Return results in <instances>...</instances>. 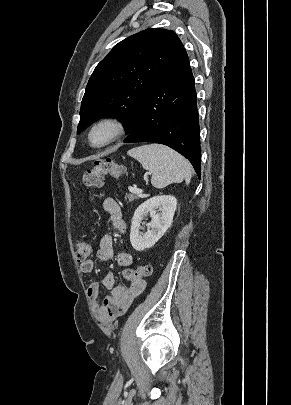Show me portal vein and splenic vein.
<instances>
[{"instance_id": "18ae733b", "label": "portal vein and splenic vein", "mask_w": 291, "mask_h": 405, "mask_svg": "<svg viewBox=\"0 0 291 405\" xmlns=\"http://www.w3.org/2000/svg\"><path fill=\"white\" fill-rule=\"evenodd\" d=\"M129 191L136 195H141L143 192L141 189H139L137 187H132V186L129 187Z\"/></svg>"}]
</instances>
